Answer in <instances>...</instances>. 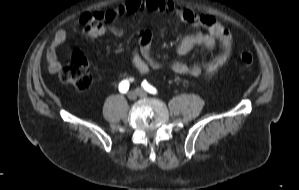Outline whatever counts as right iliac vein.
Segmentation results:
<instances>
[{
	"label": "right iliac vein",
	"instance_id": "1",
	"mask_svg": "<svg viewBox=\"0 0 299 190\" xmlns=\"http://www.w3.org/2000/svg\"><path fill=\"white\" fill-rule=\"evenodd\" d=\"M137 96H138V92H137V90H135V91H130V92L128 93V98H129L130 100H135V99L137 98Z\"/></svg>",
	"mask_w": 299,
	"mask_h": 190
}]
</instances>
